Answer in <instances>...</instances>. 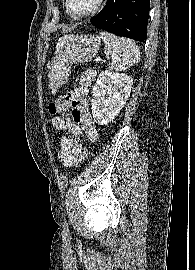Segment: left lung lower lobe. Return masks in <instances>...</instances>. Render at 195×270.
Returning <instances> with one entry per match:
<instances>
[{"label": "left lung lower lobe", "mask_w": 195, "mask_h": 270, "mask_svg": "<svg viewBox=\"0 0 195 270\" xmlns=\"http://www.w3.org/2000/svg\"><path fill=\"white\" fill-rule=\"evenodd\" d=\"M149 8L150 0H107L102 11L91 18V23L118 36L144 42Z\"/></svg>", "instance_id": "1"}]
</instances>
